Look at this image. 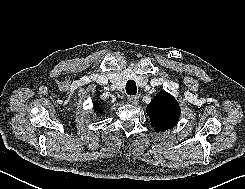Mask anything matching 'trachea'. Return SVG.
<instances>
[{
  "label": "trachea",
  "mask_w": 245,
  "mask_h": 189,
  "mask_svg": "<svg viewBox=\"0 0 245 189\" xmlns=\"http://www.w3.org/2000/svg\"><path fill=\"white\" fill-rule=\"evenodd\" d=\"M126 93L128 95H136L137 87L134 80H129L126 84Z\"/></svg>",
  "instance_id": "trachea-1"
}]
</instances>
